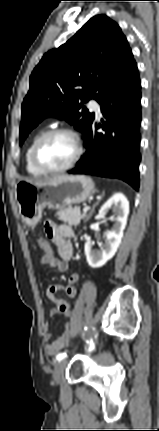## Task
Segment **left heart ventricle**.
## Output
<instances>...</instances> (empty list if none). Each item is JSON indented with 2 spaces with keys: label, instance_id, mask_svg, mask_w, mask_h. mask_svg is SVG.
I'll list each match as a JSON object with an SVG mask.
<instances>
[{
  "label": "left heart ventricle",
  "instance_id": "b2bd125f",
  "mask_svg": "<svg viewBox=\"0 0 159 431\" xmlns=\"http://www.w3.org/2000/svg\"><path fill=\"white\" fill-rule=\"evenodd\" d=\"M75 144L69 135L59 134L47 139L39 150L40 161L51 168L68 164L75 155Z\"/></svg>",
  "mask_w": 159,
  "mask_h": 431
}]
</instances>
